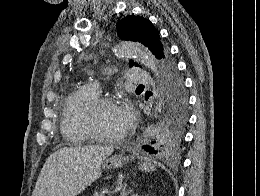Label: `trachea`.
I'll use <instances>...</instances> for the list:
<instances>
[{
	"label": "trachea",
	"mask_w": 260,
	"mask_h": 196,
	"mask_svg": "<svg viewBox=\"0 0 260 196\" xmlns=\"http://www.w3.org/2000/svg\"><path fill=\"white\" fill-rule=\"evenodd\" d=\"M137 88H145L144 85H138Z\"/></svg>",
	"instance_id": "obj_1"
}]
</instances>
